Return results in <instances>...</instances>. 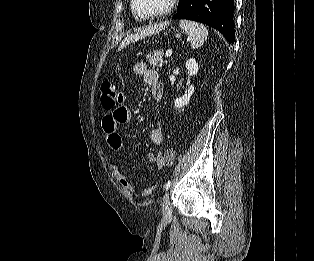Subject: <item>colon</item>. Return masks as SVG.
<instances>
[{
  "label": "colon",
  "mask_w": 314,
  "mask_h": 261,
  "mask_svg": "<svg viewBox=\"0 0 314 261\" xmlns=\"http://www.w3.org/2000/svg\"><path fill=\"white\" fill-rule=\"evenodd\" d=\"M101 106L107 113L108 109H118L123 101L122 91L111 81H105L101 88ZM174 160V152L167 150L161 157V163L164 166H170Z\"/></svg>",
  "instance_id": "colon-1"
}]
</instances>
